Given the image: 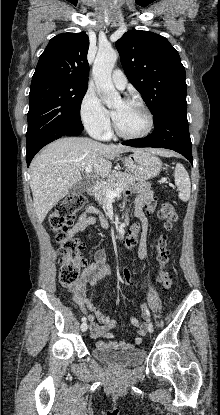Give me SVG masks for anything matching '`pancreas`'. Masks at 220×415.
<instances>
[{
  "instance_id": "1",
  "label": "pancreas",
  "mask_w": 220,
  "mask_h": 415,
  "mask_svg": "<svg viewBox=\"0 0 220 415\" xmlns=\"http://www.w3.org/2000/svg\"><path fill=\"white\" fill-rule=\"evenodd\" d=\"M143 182L139 177L126 172H115L108 176L106 181L98 182L94 187V196L98 203L105 206L107 197L105 190L110 188L112 190L117 187L123 189H138L139 183Z\"/></svg>"
}]
</instances>
